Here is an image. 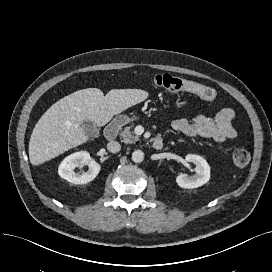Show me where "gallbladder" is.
I'll list each match as a JSON object with an SVG mask.
<instances>
[{
	"label": "gallbladder",
	"instance_id": "gallbladder-1",
	"mask_svg": "<svg viewBox=\"0 0 272 272\" xmlns=\"http://www.w3.org/2000/svg\"><path fill=\"white\" fill-rule=\"evenodd\" d=\"M81 127L84 129V131L88 135H91V136H98L99 135V130H98L97 125L88 119H86L82 122Z\"/></svg>",
	"mask_w": 272,
	"mask_h": 272
}]
</instances>
